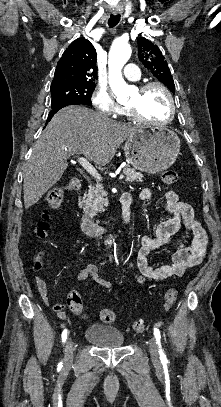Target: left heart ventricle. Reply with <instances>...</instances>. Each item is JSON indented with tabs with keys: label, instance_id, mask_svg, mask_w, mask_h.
<instances>
[{
	"label": "left heart ventricle",
	"instance_id": "obj_1",
	"mask_svg": "<svg viewBox=\"0 0 221 407\" xmlns=\"http://www.w3.org/2000/svg\"><path fill=\"white\" fill-rule=\"evenodd\" d=\"M126 106H137L141 115L151 121H163L169 115L168 99L158 88H152L144 95L136 91Z\"/></svg>",
	"mask_w": 221,
	"mask_h": 407
}]
</instances>
